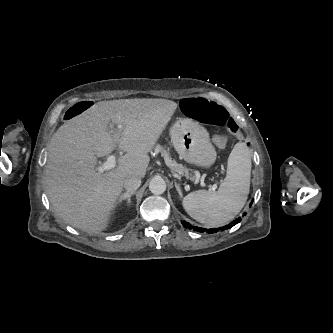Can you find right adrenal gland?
<instances>
[{
  "instance_id": "obj_1",
  "label": "right adrenal gland",
  "mask_w": 333,
  "mask_h": 333,
  "mask_svg": "<svg viewBox=\"0 0 333 333\" xmlns=\"http://www.w3.org/2000/svg\"><path fill=\"white\" fill-rule=\"evenodd\" d=\"M134 194V192H126L123 195H121L118 199V204H120L123 200L127 199L128 205L131 204V196Z\"/></svg>"
}]
</instances>
